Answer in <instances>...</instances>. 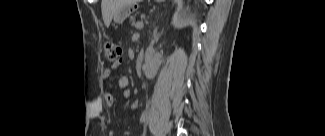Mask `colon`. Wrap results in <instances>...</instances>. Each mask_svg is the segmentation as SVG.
<instances>
[{"label":"colon","mask_w":325,"mask_h":136,"mask_svg":"<svg viewBox=\"0 0 325 136\" xmlns=\"http://www.w3.org/2000/svg\"><path fill=\"white\" fill-rule=\"evenodd\" d=\"M104 55L108 61H116L121 55V49L115 43L106 42L104 44Z\"/></svg>","instance_id":"5ec220e1"}]
</instances>
